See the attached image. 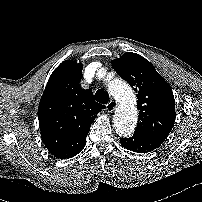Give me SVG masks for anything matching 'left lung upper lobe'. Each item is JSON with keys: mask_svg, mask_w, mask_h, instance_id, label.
Returning a JSON list of instances; mask_svg holds the SVG:
<instances>
[{"mask_svg": "<svg viewBox=\"0 0 202 202\" xmlns=\"http://www.w3.org/2000/svg\"><path fill=\"white\" fill-rule=\"evenodd\" d=\"M114 70L137 91L139 123L134 134L166 139L175 123V99L170 85L139 54L126 52L113 60Z\"/></svg>", "mask_w": 202, "mask_h": 202, "instance_id": "5c2ea615", "label": "left lung upper lobe"}]
</instances>
